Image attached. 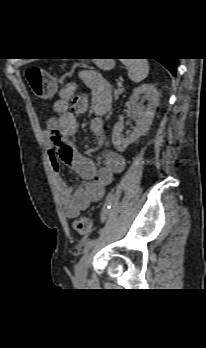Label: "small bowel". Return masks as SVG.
<instances>
[{
  "mask_svg": "<svg viewBox=\"0 0 206 348\" xmlns=\"http://www.w3.org/2000/svg\"><path fill=\"white\" fill-rule=\"evenodd\" d=\"M79 80L90 90V98L79 92L77 83L70 82L62 86L59 98L53 105L56 116L47 121L45 131L50 166L55 173L56 186L69 219L76 218L92 203L100 201L105 188L112 183L113 175L122 172L126 165L121 154L110 150L104 155V165L95 168L91 161L76 151L70 141L79 127L76 116L87 112L89 107L95 114L90 131L96 137H102L105 134L103 115L110 109L112 101L110 84L101 74L85 70L79 73ZM61 163L71 167L87 182L73 192L60 176Z\"/></svg>",
  "mask_w": 206,
  "mask_h": 348,
  "instance_id": "obj_1",
  "label": "small bowel"
}]
</instances>
